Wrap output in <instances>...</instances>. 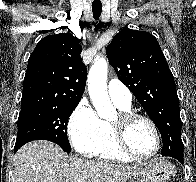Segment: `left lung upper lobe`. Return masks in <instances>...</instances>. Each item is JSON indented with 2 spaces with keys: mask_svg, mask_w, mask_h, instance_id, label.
<instances>
[{
  "mask_svg": "<svg viewBox=\"0 0 196 182\" xmlns=\"http://www.w3.org/2000/svg\"><path fill=\"white\" fill-rule=\"evenodd\" d=\"M106 54L120 81L160 131L162 156L170 151L183 154L175 81L157 39L148 32L124 28L113 37Z\"/></svg>",
  "mask_w": 196,
  "mask_h": 182,
  "instance_id": "left-lung-upper-lobe-1",
  "label": "left lung upper lobe"
}]
</instances>
